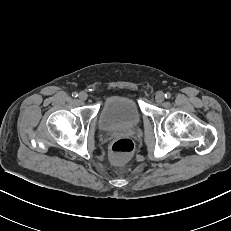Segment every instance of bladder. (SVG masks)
Wrapping results in <instances>:
<instances>
[{
    "label": "bladder",
    "instance_id": "31cf9c89",
    "mask_svg": "<svg viewBox=\"0 0 231 231\" xmlns=\"http://www.w3.org/2000/svg\"><path fill=\"white\" fill-rule=\"evenodd\" d=\"M142 113L137 102L128 96H110L106 99L98 127L103 131L132 128L141 121Z\"/></svg>",
    "mask_w": 231,
    "mask_h": 231
}]
</instances>
